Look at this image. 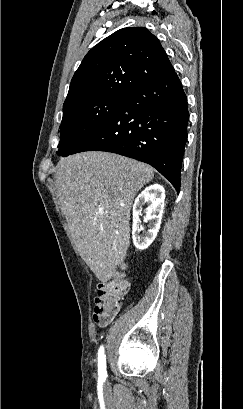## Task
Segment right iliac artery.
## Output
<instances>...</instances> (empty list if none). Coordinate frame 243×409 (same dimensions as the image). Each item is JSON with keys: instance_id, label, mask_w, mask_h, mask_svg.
<instances>
[{"instance_id": "right-iliac-artery-1", "label": "right iliac artery", "mask_w": 243, "mask_h": 409, "mask_svg": "<svg viewBox=\"0 0 243 409\" xmlns=\"http://www.w3.org/2000/svg\"><path fill=\"white\" fill-rule=\"evenodd\" d=\"M98 374L100 380L104 381L107 377L106 373V358L104 354V347L101 346L98 351Z\"/></svg>"}]
</instances>
